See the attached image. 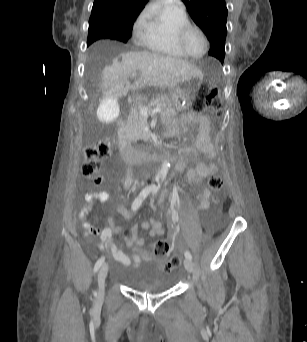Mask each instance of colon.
Instances as JSON below:
<instances>
[{
    "label": "colon",
    "instance_id": "5ec220e1",
    "mask_svg": "<svg viewBox=\"0 0 307 342\" xmlns=\"http://www.w3.org/2000/svg\"><path fill=\"white\" fill-rule=\"evenodd\" d=\"M200 93L205 94V96L201 101L197 102L199 110H208L217 114L220 107L217 89L214 87L210 88L208 82H201ZM111 146V141L99 140L96 143H90L84 147V161L81 172L85 178L91 180L94 184L100 185L103 181L100 172V162L109 157ZM208 184L214 194V203L220 205L222 202L221 194L224 186L223 177L219 174H212L208 178ZM170 250L171 244L166 239L157 241L153 246V252L160 257L168 255ZM181 259L182 256L180 254L174 255L172 259H168L162 264V271L164 273L171 272L179 264Z\"/></svg>",
    "mask_w": 307,
    "mask_h": 342
}]
</instances>
